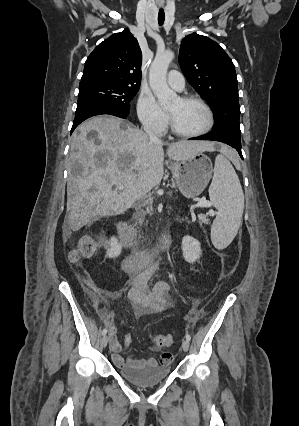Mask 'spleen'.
I'll list each match as a JSON object with an SVG mask.
<instances>
[{
  "instance_id": "obj_1",
  "label": "spleen",
  "mask_w": 299,
  "mask_h": 426,
  "mask_svg": "<svg viewBox=\"0 0 299 426\" xmlns=\"http://www.w3.org/2000/svg\"><path fill=\"white\" fill-rule=\"evenodd\" d=\"M209 197L218 211L211 227V240L217 249H224L232 242L241 224L244 194L232 164L222 154L215 159Z\"/></svg>"
}]
</instances>
